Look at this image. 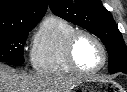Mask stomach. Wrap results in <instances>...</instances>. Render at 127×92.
Masks as SVG:
<instances>
[{
    "label": "stomach",
    "instance_id": "obj_1",
    "mask_svg": "<svg viewBox=\"0 0 127 92\" xmlns=\"http://www.w3.org/2000/svg\"><path fill=\"white\" fill-rule=\"evenodd\" d=\"M99 85L96 78H89L78 84L77 90H81L82 92H95L94 90H96Z\"/></svg>",
    "mask_w": 127,
    "mask_h": 92
}]
</instances>
